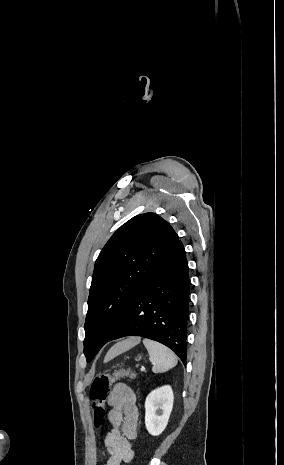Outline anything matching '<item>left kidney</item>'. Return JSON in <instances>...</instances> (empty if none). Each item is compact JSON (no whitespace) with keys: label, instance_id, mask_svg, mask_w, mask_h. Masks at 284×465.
Instances as JSON below:
<instances>
[{"label":"left kidney","instance_id":"5707ae66","mask_svg":"<svg viewBox=\"0 0 284 465\" xmlns=\"http://www.w3.org/2000/svg\"><path fill=\"white\" fill-rule=\"evenodd\" d=\"M174 395L170 385L149 393L145 401V425L148 433L157 437L166 429L173 409Z\"/></svg>","mask_w":284,"mask_h":465}]
</instances>
